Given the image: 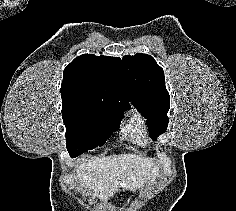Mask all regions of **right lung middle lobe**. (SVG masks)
I'll list each match as a JSON object with an SVG mask.
<instances>
[{"instance_id":"right-lung-middle-lobe-1","label":"right lung middle lobe","mask_w":236,"mask_h":211,"mask_svg":"<svg viewBox=\"0 0 236 211\" xmlns=\"http://www.w3.org/2000/svg\"><path fill=\"white\" fill-rule=\"evenodd\" d=\"M122 110L73 108L62 110L66 147L72 158L102 146L118 128Z\"/></svg>"}]
</instances>
